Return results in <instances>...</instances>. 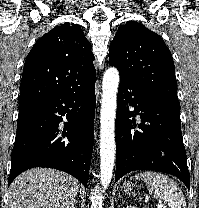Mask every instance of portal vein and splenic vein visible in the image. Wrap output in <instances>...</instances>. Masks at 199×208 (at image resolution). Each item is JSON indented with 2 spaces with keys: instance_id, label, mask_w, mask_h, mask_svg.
Returning <instances> with one entry per match:
<instances>
[{
  "instance_id": "1",
  "label": "portal vein and splenic vein",
  "mask_w": 199,
  "mask_h": 208,
  "mask_svg": "<svg viewBox=\"0 0 199 208\" xmlns=\"http://www.w3.org/2000/svg\"><path fill=\"white\" fill-rule=\"evenodd\" d=\"M157 207L158 208H165L164 204L161 201H159V203L157 204Z\"/></svg>"
}]
</instances>
